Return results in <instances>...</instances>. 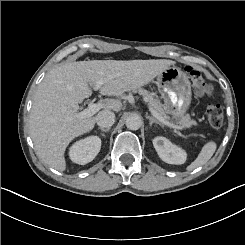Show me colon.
<instances>
[{
	"label": "colon",
	"instance_id": "1",
	"mask_svg": "<svg viewBox=\"0 0 245 245\" xmlns=\"http://www.w3.org/2000/svg\"><path fill=\"white\" fill-rule=\"evenodd\" d=\"M185 70L190 75L196 93L202 97H211L213 89L203 75L191 66H186ZM206 116L212 128L218 129L223 125V110L219 104L209 103L206 107Z\"/></svg>",
	"mask_w": 245,
	"mask_h": 245
}]
</instances>
